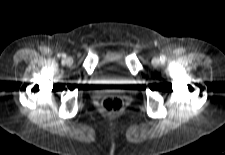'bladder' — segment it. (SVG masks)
<instances>
[{
	"mask_svg": "<svg viewBox=\"0 0 225 155\" xmlns=\"http://www.w3.org/2000/svg\"><path fill=\"white\" fill-rule=\"evenodd\" d=\"M123 64L124 57L121 53H110L98 63L94 77L104 83L128 85L129 73Z\"/></svg>",
	"mask_w": 225,
	"mask_h": 155,
	"instance_id": "1",
	"label": "bladder"
}]
</instances>
